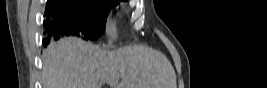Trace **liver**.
I'll use <instances>...</instances> for the list:
<instances>
[{
	"label": "liver",
	"instance_id": "obj_1",
	"mask_svg": "<svg viewBox=\"0 0 267 88\" xmlns=\"http://www.w3.org/2000/svg\"><path fill=\"white\" fill-rule=\"evenodd\" d=\"M43 88H176L170 61L152 48L132 45L101 49L76 37H65L42 53ZM122 77V82L118 83Z\"/></svg>",
	"mask_w": 267,
	"mask_h": 88
}]
</instances>
